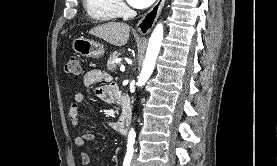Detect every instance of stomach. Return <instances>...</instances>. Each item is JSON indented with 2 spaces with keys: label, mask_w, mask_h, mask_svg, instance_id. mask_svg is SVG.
Wrapping results in <instances>:
<instances>
[{
  "label": "stomach",
  "mask_w": 277,
  "mask_h": 166,
  "mask_svg": "<svg viewBox=\"0 0 277 166\" xmlns=\"http://www.w3.org/2000/svg\"><path fill=\"white\" fill-rule=\"evenodd\" d=\"M72 49L84 57L96 59H99L105 53L102 44L84 37L75 38L72 42Z\"/></svg>",
  "instance_id": "stomach-1"
}]
</instances>
